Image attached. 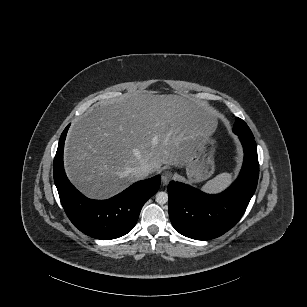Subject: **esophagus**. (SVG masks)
Wrapping results in <instances>:
<instances>
[{
  "instance_id": "esophagus-1",
  "label": "esophagus",
  "mask_w": 307,
  "mask_h": 307,
  "mask_svg": "<svg viewBox=\"0 0 307 307\" xmlns=\"http://www.w3.org/2000/svg\"><path fill=\"white\" fill-rule=\"evenodd\" d=\"M171 178H172V172L168 170L164 171L161 176V181L163 185H167L169 181L171 180Z\"/></svg>"
}]
</instances>
